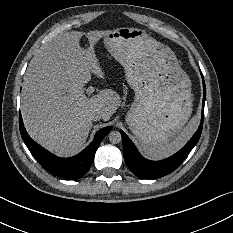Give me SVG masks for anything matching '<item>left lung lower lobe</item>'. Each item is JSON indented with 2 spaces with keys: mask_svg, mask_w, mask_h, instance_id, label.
Returning <instances> with one entry per match:
<instances>
[{
  "mask_svg": "<svg viewBox=\"0 0 233 233\" xmlns=\"http://www.w3.org/2000/svg\"><path fill=\"white\" fill-rule=\"evenodd\" d=\"M201 76L203 78L202 73ZM205 98L206 87L203 79V107L205 104ZM203 119L204 110L202 111L201 124L190 141L176 154L161 161H151L142 157L128 136L122 130H120L123 142V156L127 166L135 175L144 179L162 177L171 173L183 162V160L198 142L202 132Z\"/></svg>",
  "mask_w": 233,
  "mask_h": 233,
  "instance_id": "left-lung-lower-lobe-1",
  "label": "left lung lower lobe"
}]
</instances>
